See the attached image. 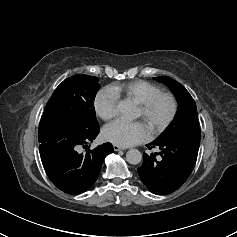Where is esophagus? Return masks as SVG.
<instances>
[{
    "mask_svg": "<svg viewBox=\"0 0 237 237\" xmlns=\"http://www.w3.org/2000/svg\"><path fill=\"white\" fill-rule=\"evenodd\" d=\"M113 148L115 151H120V150H123V148L117 146V145H113Z\"/></svg>",
    "mask_w": 237,
    "mask_h": 237,
    "instance_id": "1",
    "label": "esophagus"
}]
</instances>
